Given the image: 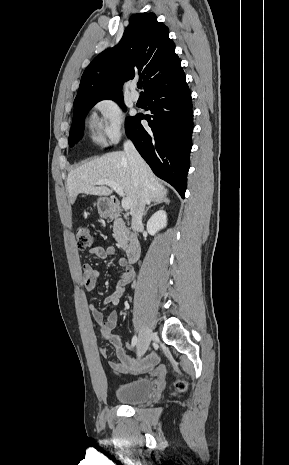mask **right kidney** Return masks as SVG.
<instances>
[{
    "mask_svg": "<svg viewBox=\"0 0 289 465\" xmlns=\"http://www.w3.org/2000/svg\"><path fill=\"white\" fill-rule=\"evenodd\" d=\"M167 225V214L164 210L155 212L147 222V231L154 236Z\"/></svg>",
    "mask_w": 289,
    "mask_h": 465,
    "instance_id": "ca27d5eb",
    "label": "right kidney"
}]
</instances>
